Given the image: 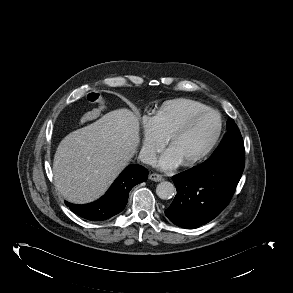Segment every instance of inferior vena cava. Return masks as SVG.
I'll list each match as a JSON object with an SVG mask.
<instances>
[{
    "instance_id": "inferior-vena-cava-1",
    "label": "inferior vena cava",
    "mask_w": 293,
    "mask_h": 293,
    "mask_svg": "<svg viewBox=\"0 0 293 293\" xmlns=\"http://www.w3.org/2000/svg\"><path fill=\"white\" fill-rule=\"evenodd\" d=\"M156 154L154 151L143 148L139 153V160L144 164H152L155 161Z\"/></svg>"
}]
</instances>
